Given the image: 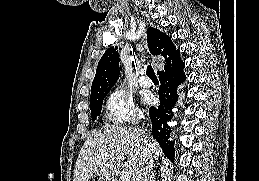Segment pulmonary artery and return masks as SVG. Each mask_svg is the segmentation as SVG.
<instances>
[{"instance_id":"e3ab8cb5","label":"pulmonary artery","mask_w":259,"mask_h":181,"mask_svg":"<svg viewBox=\"0 0 259 181\" xmlns=\"http://www.w3.org/2000/svg\"><path fill=\"white\" fill-rule=\"evenodd\" d=\"M138 82L140 86L146 88L150 87L152 84L151 80L148 77H146L143 72H141V76L139 77Z\"/></svg>"}]
</instances>
